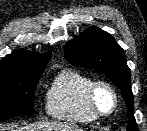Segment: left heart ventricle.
Wrapping results in <instances>:
<instances>
[{
	"mask_svg": "<svg viewBox=\"0 0 147 131\" xmlns=\"http://www.w3.org/2000/svg\"><path fill=\"white\" fill-rule=\"evenodd\" d=\"M95 99H96L97 107L102 112H108L112 109L114 104V99L109 89L105 87L98 88Z\"/></svg>",
	"mask_w": 147,
	"mask_h": 131,
	"instance_id": "left-heart-ventricle-1",
	"label": "left heart ventricle"
}]
</instances>
